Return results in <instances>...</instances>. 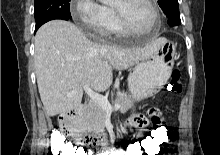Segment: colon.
<instances>
[{"label": "colon", "mask_w": 220, "mask_h": 155, "mask_svg": "<svg viewBox=\"0 0 220 155\" xmlns=\"http://www.w3.org/2000/svg\"><path fill=\"white\" fill-rule=\"evenodd\" d=\"M166 89L170 92L179 94L182 92L181 75L178 70H173L170 80L166 85ZM152 114V123L146 125L148 135H144V139H133L128 142L126 152L128 155H160L163 144H170L169 129L166 121L156 112ZM91 140V138L87 139ZM54 144L51 150L52 155H90L93 149L103 148L105 145H86V149H82L81 143H68L61 135L52 137ZM170 155V154H164Z\"/></svg>", "instance_id": "colon-1"}]
</instances>
